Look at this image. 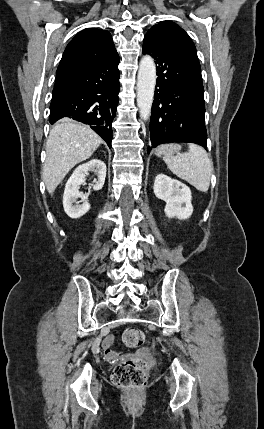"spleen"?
<instances>
[{"mask_svg": "<svg viewBox=\"0 0 264 429\" xmlns=\"http://www.w3.org/2000/svg\"><path fill=\"white\" fill-rule=\"evenodd\" d=\"M188 152L176 156H165L164 162L177 177L187 181L201 192L210 186L213 166L207 152L197 144H188Z\"/></svg>", "mask_w": 264, "mask_h": 429, "instance_id": "obj_1", "label": "spleen"}]
</instances>
